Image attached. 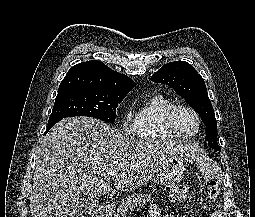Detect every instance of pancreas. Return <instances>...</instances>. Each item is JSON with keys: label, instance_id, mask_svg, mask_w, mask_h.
I'll return each instance as SVG.
<instances>
[{"label": "pancreas", "instance_id": "1", "mask_svg": "<svg viewBox=\"0 0 255 217\" xmlns=\"http://www.w3.org/2000/svg\"><path fill=\"white\" fill-rule=\"evenodd\" d=\"M151 201V194L134 193L129 196L114 212V217H127V214H131L139 206L147 204Z\"/></svg>", "mask_w": 255, "mask_h": 217}]
</instances>
